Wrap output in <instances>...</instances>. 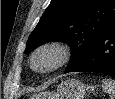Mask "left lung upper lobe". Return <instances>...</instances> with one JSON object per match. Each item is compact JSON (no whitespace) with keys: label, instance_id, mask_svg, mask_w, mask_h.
I'll list each match as a JSON object with an SVG mask.
<instances>
[{"label":"left lung upper lobe","instance_id":"obj_1","mask_svg":"<svg viewBox=\"0 0 115 99\" xmlns=\"http://www.w3.org/2000/svg\"><path fill=\"white\" fill-rule=\"evenodd\" d=\"M114 23L115 0H51L27 41L25 53L49 41H63L71 47L66 73Z\"/></svg>","mask_w":115,"mask_h":99}]
</instances>
